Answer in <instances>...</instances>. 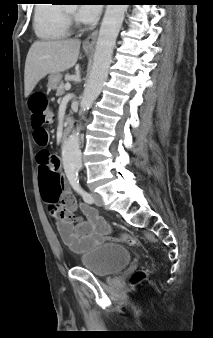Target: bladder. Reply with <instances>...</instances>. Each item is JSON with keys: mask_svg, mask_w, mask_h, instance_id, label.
<instances>
[{"mask_svg": "<svg viewBox=\"0 0 213 338\" xmlns=\"http://www.w3.org/2000/svg\"><path fill=\"white\" fill-rule=\"evenodd\" d=\"M132 254L122 244H103L83 254L80 265L98 277H109L129 265Z\"/></svg>", "mask_w": 213, "mask_h": 338, "instance_id": "bladder-1", "label": "bladder"}]
</instances>
